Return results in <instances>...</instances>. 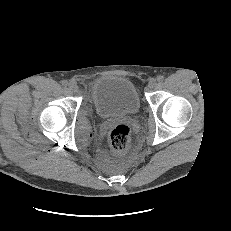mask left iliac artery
I'll use <instances>...</instances> for the list:
<instances>
[{
    "mask_svg": "<svg viewBox=\"0 0 231 231\" xmlns=\"http://www.w3.org/2000/svg\"><path fill=\"white\" fill-rule=\"evenodd\" d=\"M163 80H164V76L159 75V76L157 77V81H158V82H162Z\"/></svg>",
    "mask_w": 231,
    "mask_h": 231,
    "instance_id": "left-iliac-artery-1",
    "label": "left iliac artery"
}]
</instances>
